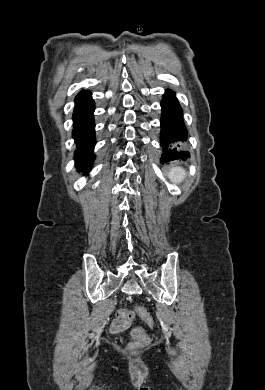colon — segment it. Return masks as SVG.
Listing matches in <instances>:
<instances>
[{
  "label": "colon",
  "instance_id": "5ec220e1",
  "mask_svg": "<svg viewBox=\"0 0 265 390\" xmlns=\"http://www.w3.org/2000/svg\"><path fill=\"white\" fill-rule=\"evenodd\" d=\"M136 312L149 326H153V318L146 308L138 306L136 308ZM117 318L123 321L130 322L134 319V313L127 309H121L117 312ZM132 338L133 342L129 344V349L131 350L136 349L139 346L148 342V337L144 329L141 327H137L132 330Z\"/></svg>",
  "mask_w": 265,
  "mask_h": 390
}]
</instances>
